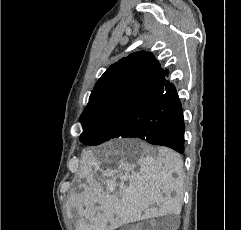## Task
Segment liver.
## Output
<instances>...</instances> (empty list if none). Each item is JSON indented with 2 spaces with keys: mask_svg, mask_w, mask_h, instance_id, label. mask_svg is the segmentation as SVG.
Masks as SVG:
<instances>
[{
  "mask_svg": "<svg viewBox=\"0 0 241 230\" xmlns=\"http://www.w3.org/2000/svg\"><path fill=\"white\" fill-rule=\"evenodd\" d=\"M128 146L127 149L125 143L120 147L110 145L98 159L91 152L84 154L81 167V178L86 181L81 185L84 191L80 195L72 194L68 201L69 210H77L80 216L76 230H110L116 223L180 213L183 200L181 156L169 148H151L138 141ZM135 146L144 147L145 154L134 163L128 162L126 157ZM96 175L119 179V190L104 192ZM155 203L159 208L153 207Z\"/></svg>",
  "mask_w": 241,
  "mask_h": 230,
  "instance_id": "1",
  "label": "liver"
}]
</instances>
